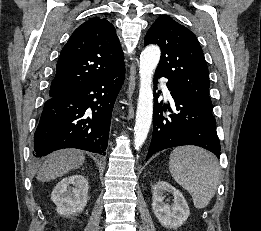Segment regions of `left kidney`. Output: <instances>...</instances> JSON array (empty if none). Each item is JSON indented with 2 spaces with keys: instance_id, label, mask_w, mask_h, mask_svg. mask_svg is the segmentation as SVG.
<instances>
[{
  "instance_id": "left-kidney-1",
  "label": "left kidney",
  "mask_w": 261,
  "mask_h": 231,
  "mask_svg": "<svg viewBox=\"0 0 261 231\" xmlns=\"http://www.w3.org/2000/svg\"><path fill=\"white\" fill-rule=\"evenodd\" d=\"M172 194L173 203L164 202V194ZM152 209L159 222L166 228H177L188 218L190 211L182 193L165 181L156 183L152 196Z\"/></svg>"
}]
</instances>
